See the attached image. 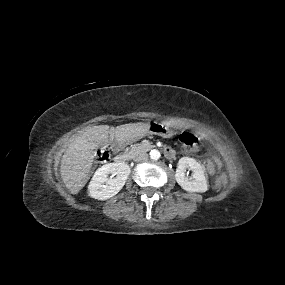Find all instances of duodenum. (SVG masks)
Wrapping results in <instances>:
<instances>
[{
	"label": "duodenum",
	"mask_w": 285,
	"mask_h": 285,
	"mask_svg": "<svg viewBox=\"0 0 285 285\" xmlns=\"http://www.w3.org/2000/svg\"><path fill=\"white\" fill-rule=\"evenodd\" d=\"M114 152H115V159L119 163H124L128 159V155L123 152V142L116 141L114 144ZM164 155L172 159L175 157V151L173 149L165 148L164 149Z\"/></svg>",
	"instance_id": "1"
}]
</instances>
